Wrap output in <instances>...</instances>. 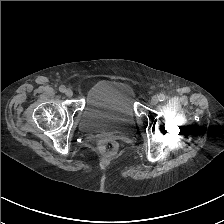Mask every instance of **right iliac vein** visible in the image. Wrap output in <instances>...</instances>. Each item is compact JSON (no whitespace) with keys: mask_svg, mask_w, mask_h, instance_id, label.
Listing matches in <instances>:
<instances>
[{"mask_svg":"<svg viewBox=\"0 0 224 224\" xmlns=\"http://www.w3.org/2000/svg\"><path fill=\"white\" fill-rule=\"evenodd\" d=\"M65 95H66L67 97H72V96H73V91H72L71 89H67V90L65 91Z\"/></svg>","mask_w":224,"mask_h":224,"instance_id":"63e3f726","label":"right iliac vein"}]
</instances>
